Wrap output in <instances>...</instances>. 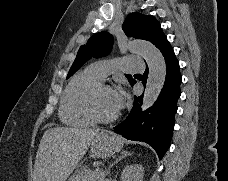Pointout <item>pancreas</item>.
<instances>
[{
    "instance_id": "obj_1",
    "label": "pancreas",
    "mask_w": 228,
    "mask_h": 181,
    "mask_svg": "<svg viewBox=\"0 0 228 181\" xmlns=\"http://www.w3.org/2000/svg\"><path fill=\"white\" fill-rule=\"evenodd\" d=\"M99 179H101L99 171H87V169H83V171H77L76 175H73L70 181H99Z\"/></svg>"
}]
</instances>
